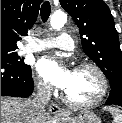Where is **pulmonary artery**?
Here are the masks:
<instances>
[{
	"instance_id": "e3ab8cb5",
	"label": "pulmonary artery",
	"mask_w": 122,
	"mask_h": 123,
	"mask_svg": "<svg viewBox=\"0 0 122 123\" xmlns=\"http://www.w3.org/2000/svg\"><path fill=\"white\" fill-rule=\"evenodd\" d=\"M50 48H60L71 51L74 49V41L67 33H62L57 37L47 39H35L23 47L22 52H38Z\"/></svg>"
}]
</instances>
